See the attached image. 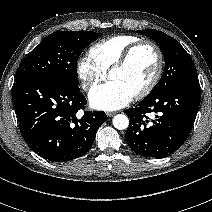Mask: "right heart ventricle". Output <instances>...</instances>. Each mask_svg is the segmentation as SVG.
I'll return each instance as SVG.
<instances>
[{"instance_id":"e07e8e85","label":"right heart ventricle","mask_w":212,"mask_h":212,"mask_svg":"<svg viewBox=\"0 0 212 212\" xmlns=\"http://www.w3.org/2000/svg\"><path fill=\"white\" fill-rule=\"evenodd\" d=\"M137 41L139 38L133 35H115L91 46L88 55L97 67L107 73L123 52Z\"/></svg>"}]
</instances>
